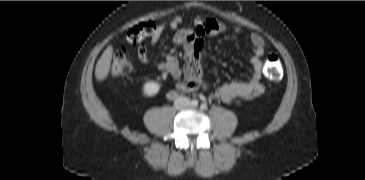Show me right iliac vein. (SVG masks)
<instances>
[{
  "label": "right iliac vein",
  "instance_id": "1",
  "mask_svg": "<svg viewBox=\"0 0 365 180\" xmlns=\"http://www.w3.org/2000/svg\"><path fill=\"white\" fill-rule=\"evenodd\" d=\"M186 104L185 100H179L178 106L182 107Z\"/></svg>",
  "mask_w": 365,
  "mask_h": 180
}]
</instances>
